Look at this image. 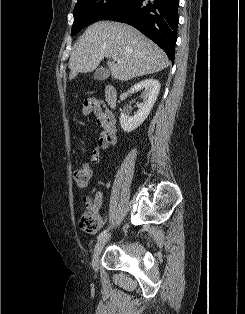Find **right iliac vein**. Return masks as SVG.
I'll return each mask as SVG.
<instances>
[{
    "instance_id": "obj_1",
    "label": "right iliac vein",
    "mask_w": 245,
    "mask_h": 314,
    "mask_svg": "<svg viewBox=\"0 0 245 314\" xmlns=\"http://www.w3.org/2000/svg\"><path fill=\"white\" fill-rule=\"evenodd\" d=\"M110 237V234L105 235L104 237H102L101 239L98 240V242L95 245L94 248V253H93V257H92V268L96 271L98 270V266H99V255L104 247V245L106 244V242L108 241Z\"/></svg>"
}]
</instances>
